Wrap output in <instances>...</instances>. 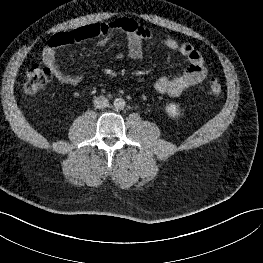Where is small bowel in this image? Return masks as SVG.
Here are the masks:
<instances>
[{"mask_svg":"<svg viewBox=\"0 0 263 263\" xmlns=\"http://www.w3.org/2000/svg\"><path fill=\"white\" fill-rule=\"evenodd\" d=\"M116 34L126 36L128 55L133 60L142 58L145 42L158 40L150 28L143 27L132 19L120 18L109 23L90 24L72 31L54 34L43 51L42 60L59 82L68 86H77L83 80V75L66 73L56 61L57 49L93 38L97 39L99 45H103ZM160 42L167 49L177 51L185 56L189 64L180 75L160 77L154 84L158 93L176 97L190 87L204 81L207 75L204 60L192 44L178 42L173 37L162 38Z\"/></svg>","mask_w":263,"mask_h":263,"instance_id":"1","label":"small bowel"}]
</instances>
